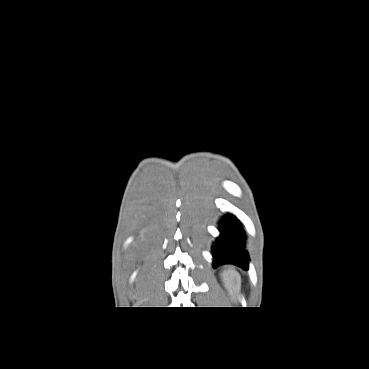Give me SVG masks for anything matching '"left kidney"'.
<instances>
[{"label": "left kidney", "mask_w": 369, "mask_h": 369, "mask_svg": "<svg viewBox=\"0 0 369 369\" xmlns=\"http://www.w3.org/2000/svg\"><path fill=\"white\" fill-rule=\"evenodd\" d=\"M222 278L227 288L236 289L238 285L239 274L232 270H227L222 273Z\"/></svg>", "instance_id": "1"}]
</instances>
